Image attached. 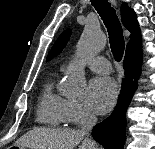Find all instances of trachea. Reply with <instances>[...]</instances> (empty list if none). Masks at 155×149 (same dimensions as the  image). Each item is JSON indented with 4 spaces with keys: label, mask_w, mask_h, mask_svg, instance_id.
I'll list each match as a JSON object with an SVG mask.
<instances>
[{
    "label": "trachea",
    "mask_w": 155,
    "mask_h": 149,
    "mask_svg": "<svg viewBox=\"0 0 155 149\" xmlns=\"http://www.w3.org/2000/svg\"><path fill=\"white\" fill-rule=\"evenodd\" d=\"M92 5L103 20L109 35L110 48L116 61H120L124 53V37L121 23L115 9L108 0H91Z\"/></svg>",
    "instance_id": "1"
}]
</instances>
